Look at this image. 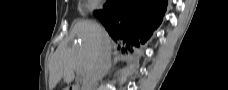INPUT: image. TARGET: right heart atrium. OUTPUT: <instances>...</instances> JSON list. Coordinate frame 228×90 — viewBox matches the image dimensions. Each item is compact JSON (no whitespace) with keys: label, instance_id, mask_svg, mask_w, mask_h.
Listing matches in <instances>:
<instances>
[{"label":"right heart atrium","instance_id":"obj_1","mask_svg":"<svg viewBox=\"0 0 228 90\" xmlns=\"http://www.w3.org/2000/svg\"><path fill=\"white\" fill-rule=\"evenodd\" d=\"M86 5L91 9H97L102 5V1L100 0H88L86 1Z\"/></svg>","mask_w":228,"mask_h":90}]
</instances>
